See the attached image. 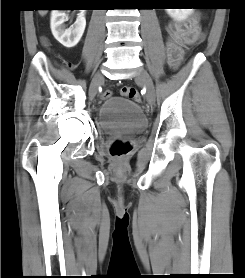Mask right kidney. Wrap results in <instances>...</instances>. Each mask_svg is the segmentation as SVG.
Masks as SVG:
<instances>
[{"mask_svg":"<svg viewBox=\"0 0 245 278\" xmlns=\"http://www.w3.org/2000/svg\"><path fill=\"white\" fill-rule=\"evenodd\" d=\"M67 19L66 10H52L51 31L59 43L67 48H72L78 44L84 33L86 27L85 13L83 10L80 11L74 26L71 28H66Z\"/></svg>","mask_w":245,"mask_h":278,"instance_id":"1","label":"right kidney"}]
</instances>
